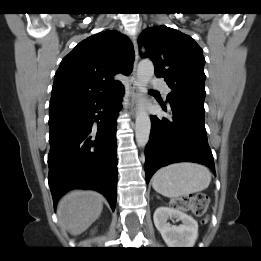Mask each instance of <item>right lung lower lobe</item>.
<instances>
[{
    "label": "right lung lower lobe",
    "instance_id": "1",
    "mask_svg": "<svg viewBox=\"0 0 261 261\" xmlns=\"http://www.w3.org/2000/svg\"><path fill=\"white\" fill-rule=\"evenodd\" d=\"M119 89L49 109L48 182L54 205L68 190L102 193L114 211L117 192L116 119Z\"/></svg>",
    "mask_w": 261,
    "mask_h": 261
}]
</instances>
